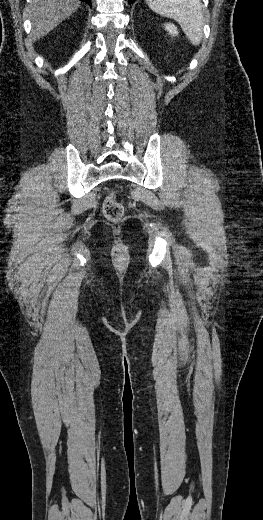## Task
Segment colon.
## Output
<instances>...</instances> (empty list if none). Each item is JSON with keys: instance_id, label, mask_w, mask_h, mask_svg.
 Instances as JSON below:
<instances>
[{"instance_id": "1", "label": "colon", "mask_w": 263, "mask_h": 520, "mask_svg": "<svg viewBox=\"0 0 263 520\" xmlns=\"http://www.w3.org/2000/svg\"><path fill=\"white\" fill-rule=\"evenodd\" d=\"M103 214L112 222H117L124 216V207L113 193L108 195L104 200Z\"/></svg>"}]
</instances>
